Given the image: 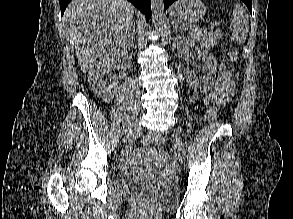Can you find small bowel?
<instances>
[{"instance_id":"obj_1","label":"small bowel","mask_w":293,"mask_h":219,"mask_svg":"<svg viewBox=\"0 0 293 219\" xmlns=\"http://www.w3.org/2000/svg\"><path fill=\"white\" fill-rule=\"evenodd\" d=\"M234 89L235 85L230 71L226 67L220 66L217 80L211 92L206 96L193 95L191 100L196 101L201 97L204 104L211 102L217 104L226 103L232 98Z\"/></svg>"}]
</instances>
